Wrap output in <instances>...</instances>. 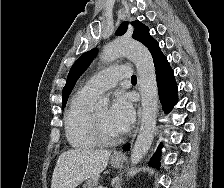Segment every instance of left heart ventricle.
<instances>
[{"label": "left heart ventricle", "mask_w": 224, "mask_h": 188, "mask_svg": "<svg viewBox=\"0 0 224 188\" xmlns=\"http://www.w3.org/2000/svg\"><path fill=\"white\" fill-rule=\"evenodd\" d=\"M95 115L102 126L104 132L109 136H117L119 133L115 130L112 126L110 119H109V111L108 109H100L95 111Z\"/></svg>", "instance_id": "left-heart-ventricle-1"}]
</instances>
